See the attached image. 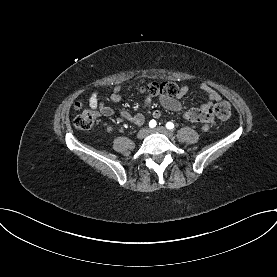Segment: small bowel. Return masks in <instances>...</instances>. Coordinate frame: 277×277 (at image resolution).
I'll return each instance as SVG.
<instances>
[{"mask_svg":"<svg viewBox=\"0 0 277 277\" xmlns=\"http://www.w3.org/2000/svg\"><path fill=\"white\" fill-rule=\"evenodd\" d=\"M200 89L204 91L208 96V101L204 103L200 108H185L180 99L189 91V87L187 85L182 86L179 89V92L174 97H159V101L161 105L175 112H179L182 116L189 121L192 122H200L203 124V130H207L209 125L213 122V105L215 102L221 100L220 94L210 85L206 83L200 84ZM123 90L122 86H116L112 92L109 94V98L112 102L118 103L121 100V92ZM151 103V98L146 97L144 100V106H148ZM89 105L92 109H99L101 114L107 117L115 115L117 112L114 108L104 105L99 100V92L94 91L89 99ZM118 114L130 122L133 125L140 126L144 123L145 117L142 113L131 114L126 110L118 111ZM161 116V111L155 109L152 112V117L154 119H158Z\"/></svg>","mask_w":277,"mask_h":277,"instance_id":"1","label":"small bowel"}]
</instances>
